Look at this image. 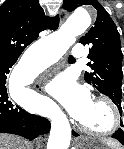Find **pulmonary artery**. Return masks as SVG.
<instances>
[{"label": "pulmonary artery", "instance_id": "1", "mask_svg": "<svg viewBox=\"0 0 124 149\" xmlns=\"http://www.w3.org/2000/svg\"><path fill=\"white\" fill-rule=\"evenodd\" d=\"M74 58L82 59L85 56V46L82 43H78L71 51Z\"/></svg>", "mask_w": 124, "mask_h": 149}]
</instances>
